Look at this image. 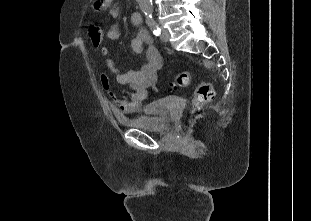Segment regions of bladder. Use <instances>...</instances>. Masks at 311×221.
Returning <instances> with one entry per match:
<instances>
[{
	"label": "bladder",
	"mask_w": 311,
	"mask_h": 221,
	"mask_svg": "<svg viewBox=\"0 0 311 221\" xmlns=\"http://www.w3.org/2000/svg\"><path fill=\"white\" fill-rule=\"evenodd\" d=\"M151 108H144L142 114L127 120L126 125L132 129H142L148 132H164L172 123L167 99H155Z\"/></svg>",
	"instance_id": "31cf9c89"
}]
</instances>
